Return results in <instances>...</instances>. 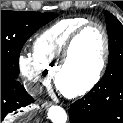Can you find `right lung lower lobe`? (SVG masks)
Wrapping results in <instances>:
<instances>
[{
  "mask_svg": "<svg viewBox=\"0 0 123 123\" xmlns=\"http://www.w3.org/2000/svg\"><path fill=\"white\" fill-rule=\"evenodd\" d=\"M33 101L19 81L1 79V121Z\"/></svg>",
  "mask_w": 123,
  "mask_h": 123,
  "instance_id": "98d812e1",
  "label": "right lung lower lobe"
}]
</instances>
